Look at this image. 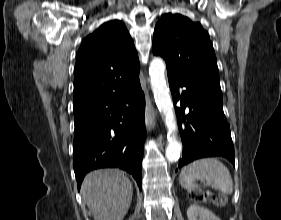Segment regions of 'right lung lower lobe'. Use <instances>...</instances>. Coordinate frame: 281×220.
Listing matches in <instances>:
<instances>
[{
	"mask_svg": "<svg viewBox=\"0 0 281 220\" xmlns=\"http://www.w3.org/2000/svg\"><path fill=\"white\" fill-rule=\"evenodd\" d=\"M73 167L78 189L98 168L123 169L141 189L145 132V97L139 79L118 94L74 112Z\"/></svg>",
	"mask_w": 281,
	"mask_h": 220,
	"instance_id": "98d812e1",
	"label": "right lung lower lobe"
}]
</instances>
